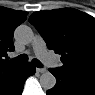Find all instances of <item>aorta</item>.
Segmentation results:
<instances>
[{"label": "aorta", "instance_id": "obj_1", "mask_svg": "<svg viewBox=\"0 0 95 95\" xmlns=\"http://www.w3.org/2000/svg\"><path fill=\"white\" fill-rule=\"evenodd\" d=\"M33 31L27 25H20L15 30V38L23 43H30L33 39ZM40 84L44 90L52 89L56 84L55 76L50 72H45L40 76Z\"/></svg>", "mask_w": 95, "mask_h": 95}]
</instances>
